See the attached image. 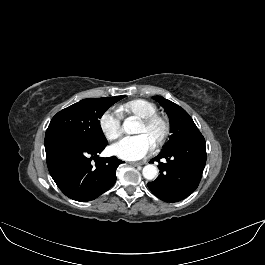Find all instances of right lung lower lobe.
<instances>
[{
  "mask_svg": "<svg viewBox=\"0 0 265 265\" xmlns=\"http://www.w3.org/2000/svg\"><path fill=\"white\" fill-rule=\"evenodd\" d=\"M48 170L59 189L69 198L94 200L116 182V169L123 163L115 156L99 158L107 141L92 143L66 134L45 135Z\"/></svg>",
  "mask_w": 265,
  "mask_h": 265,
  "instance_id": "right-lung-lower-lobe-1",
  "label": "right lung lower lobe"
}]
</instances>
